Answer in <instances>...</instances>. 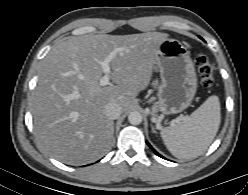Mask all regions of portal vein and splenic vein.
<instances>
[{
    "mask_svg": "<svg viewBox=\"0 0 248 195\" xmlns=\"http://www.w3.org/2000/svg\"><path fill=\"white\" fill-rule=\"evenodd\" d=\"M113 54H110L107 58H105L104 61L100 62V65L102 66V69L104 71L103 77L100 79V85L106 86L110 82V74H111V68L109 66V62L113 59Z\"/></svg>",
    "mask_w": 248,
    "mask_h": 195,
    "instance_id": "obj_1",
    "label": "portal vein and splenic vein"
}]
</instances>
